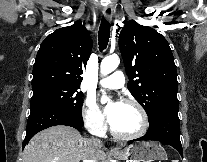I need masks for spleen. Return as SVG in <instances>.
<instances>
[{
  "label": "spleen",
  "mask_w": 207,
  "mask_h": 162,
  "mask_svg": "<svg viewBox=\"0 0 207 162\" xmlns=\"http://www.w3.org/2000/svg\"><path fill=\"white\" fill-rule=\"evenodd\" d=\"M172 162H178V160H173Z\"/></svg>",
  "instance_id": "obj_1"
}]
</instances>
